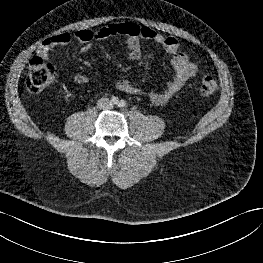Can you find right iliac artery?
<instances>
[{"label": "right iliac artery", "mask_w": 263, "mask_h": 263, "mask_svg": "<svg viewBox=\"0 0 263 263\" xmlns=\"http://www.w3.org/2000/svg\"><path fill=\"white\" fill-rule=\"evenodd\" d=\"M111 102L113 104H118L119 103V99L117 97L113 96L112 99H111Z\"/></svg>", "instance_id": "obj_1"}]
</instances>
